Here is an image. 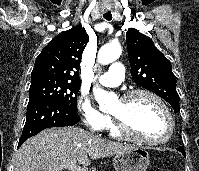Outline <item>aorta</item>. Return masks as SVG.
I'll list each match as a JSON object with an SVG mask.
<instances>
[{"label":"aorta","mask_w":199,"mask_h":171,"mask_svg":"<svg viewBox=\"0 0 199 171\" xmlns=\"http://www.w3.org/2000/svg\"><path fill=\"white\" fill-rule=\"evenodd\" d=\"M122 49L118 43H110L104 45L98 52V62L107 65L115 60H117L121 55ZM93 93L96 101L99 104L101 110L107 109L115 96L101 88H94Z\"/></svg>","instance_id":"aorta-1"}]
</instances>
